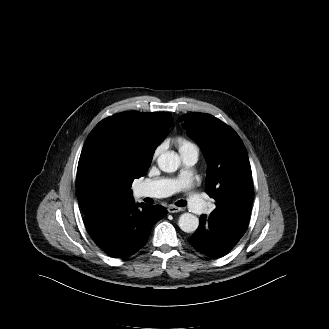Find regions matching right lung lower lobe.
<instances>
[{
	"label": "right lung lower lobe",
	"instance_id": "obj_1",
	"mask_svg": "<svg viewBox=\"0 0 329 329\" xmlns=\"http://www.w3.org/2000/svg\"><path fill=\"white\" fill-rule=\"evenodd\" d=\"M166 214L163 206L135 205L132 199L101 204L85 213L84 222L102 250L111 257L123 258L145 245L153 225Z\"/></svg>",
	"mask_w": 329,
	"mask_h": 329
}]
</instances>
